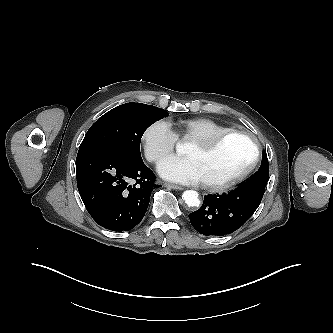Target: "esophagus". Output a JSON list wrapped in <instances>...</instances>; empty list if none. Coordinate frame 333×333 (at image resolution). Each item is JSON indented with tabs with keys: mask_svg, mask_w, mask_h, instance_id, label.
Returning <instances> with one entry per match:
<instances>
[{
	"mask_svg": "<svg viewBox=\"0 0 333 333\" xmlns=\"http://www.w3.org/2000/svg\"><path fill=\"white\" fill-rule=\"evenodd\" d=\"M164 186L175 190H183V187L171 183H164Z\"/></svg>",
	"mask_w": 333,
	"mask_h": 333,
	"instance_id": "34e87169",
	"label": "esophagus"
}]
</instances>
